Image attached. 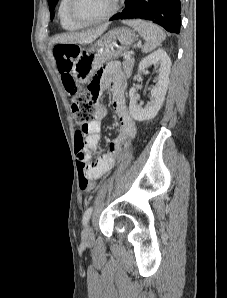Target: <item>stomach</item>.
<instances>
[{"instance_id": "stomach-1", "label": "stomach", "mask_w": 227, "mask_h": 298, "mask_svg": "<svg viewBox=\"0 0 227 298\" xmlns=\"http://www.w3.org/2000/svg\"><path fill=\"white\" fill-rule=\"evenodd\" d=\"M136 34L129 28H116L87 49H83L73 62L72 74L80 84L88 79L101 67V63L116 59L125 53L135 42Z\"/></svg>"}]
</instances>
